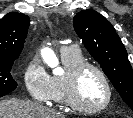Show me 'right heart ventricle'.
<instances>
[{
  "label": "right heart ventricle",
  "mask_w": 133,
  "mask_h": 118,
  "mask_svg": "<svg viewBox=\"0 0 133 118\" xmlns=\"http://www.w3.org/2000/svg\"><path fill=\"white\" fill-rule=\"evenodd\" d=\"M61 59L65 66L66 72L63 75L52 76V100L56 103L67 104L65 99V79L67 73L83 62V56L80 51L61 53Z\"/></svg>",
  "instance_id": "1"
}]
</instances>
